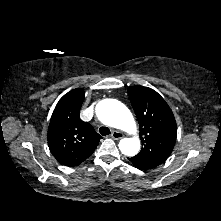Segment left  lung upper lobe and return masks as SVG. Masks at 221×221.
I'll list each match as a JSON object with an SVG mask.
<instances>
[{
  "instance_id": "1",
  "label": "left lung upper lobe",
  "mask_w": 221,
  "mask_h": 221,
  "mask_svg": "<svg viewBox=\"0 0 221 221\" xmlns=\"http://www.w3.org/2000/svg\"><path fill=\"white\" fill-rule=\"evenodd\" d=\"M128 95L139 122L143 145L133 158L159 166L169 157L175 144L174 115L165 100L151 88L129 87Z\"/></svg>"
}]
</instances>
